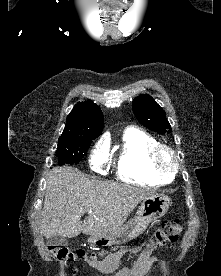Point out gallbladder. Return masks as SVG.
Returning <instances> with one entry per match:
<instances>
[{
    "instance_id": "gallbladder-1",
    "label": "gallbladder",
    "mask_w": 221,
    "mask_h": 276,
    "mask_svg": "<svg viewBox=\"0 0 221 276\" xmlns=\"http://www.w3.org/2000/svg\"><path fill=\"white\" fill-rule=\"evenodd\" d=\"M47 244L52 245V246L61 247V246L67 245L68 240L65 237H62L60 235H53L47 239Z\"/></svg>"
}]
</instances>
